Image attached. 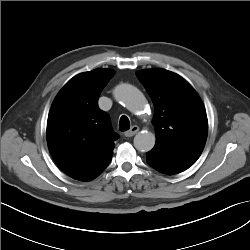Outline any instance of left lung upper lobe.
Returning a JSON list of instances; mask_svg holds the SVG:
<instances>
[{
    "label": "left lung upper lobe",
    "instance_id": "left-lung-upper-lobe-1",
    "mask_svg": "<svg viewBox=\"0 0 250 250\" xmlns=\"http://www.w3.org/2000/svg\"><path fill=\"white\" fill-rule=\"evenodd\" d=\"M136 75L155 108L153 149L200 156L207 139L208 121L195 90L181 76L165 69L141 70Z\"/></svg>",
    "mask_w": 250,
    "mask_h": 250
}]
</instances>
